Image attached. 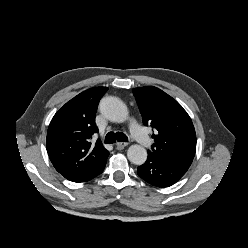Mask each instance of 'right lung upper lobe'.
<instances>
[{"label":"right lung upper lobe","mask_w":248,"mask_h":248,"mask_svg":"<svg viewBox=\"0 0 248 248\" xmlns=\"http://www.w3.org/2000/svg\"><path fill=\"white\" fill-rule=\"evenodd\" d=\"M107 87L90 88L68 101L52 118L46 147L55 169L66 179L84 182L106 162L109 152L100 140L91 145L98 132L95 114Z\"/></svg>","instance_id":"cb5924a9"}]
</instances>
